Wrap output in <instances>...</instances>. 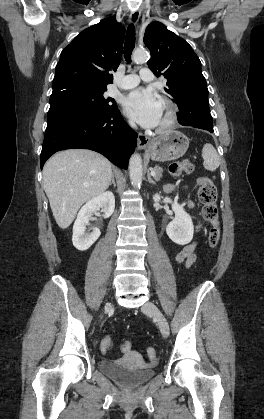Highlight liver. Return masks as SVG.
Returning a JSON list of instances; mask_svg holds the SVG:
<instances>
[{
    "label": "liver",
    "mask_w": 264,
    "mask_h": 419,
    "mask_svg": "<svg viewBox=\"0 0 264 419\" xmlns=\"http://www.w3.org/2000/svg\"><path fill=\"white\" fill-rule=\"evenodd\" d=\"M110 161L86 149L54 154L44 165V190L53 216L62 229L69 227L79 208L103 193L111 183Z\"/></svg>",
    "instance_id": "6515ba94"
}]
</instances>
